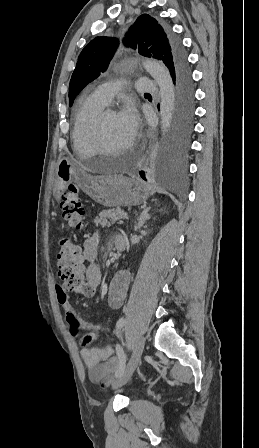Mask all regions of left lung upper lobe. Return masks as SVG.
<instances>
[{"label":"left lung upper lobe","mask_w":259,"mask_h":448,"mask_svg":"<svg viewBox=\"0 0 259 448\" xmlns=\"http://www.w3.org/2000/svg\"><path fill=\"white\" fill-rule=\"evenodd\" d=\"M146 57L162 60L169 69L174 63L178 49L174 38L168 36L162 26L148 14L139 16L124 39ZM118 40L111 37H96L82 50L69 84V101L72 105L75 97L91 81L106 71L116 49Z\"/></svg>","instance_id":"left-lung-upper-lobe-1"}]
</instances>
